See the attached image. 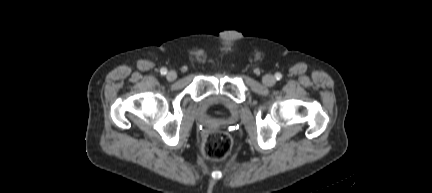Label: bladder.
Masks as SVG:
<instances>
[{
    "instance_id": "bladder-1",
    "label": "bladder",
    "mask_w": 432,
    "mask_h": 193,
    "mask_svg": "<svg viewBox=\"0 0 432 193\" xmlns=\"http://www.w3.org/2000/svg\"><path fill=\"white\" fill-rule=\"evenodd\" d=\"M230 104V100L226 96L221 94L209 95L201 102V105L206 110L211 109L214 106L220 109V112H218L215 116V118L217 119L225 118L226 113L224 112V110L228 109Z\"/></svg>"
}]
</instances>
